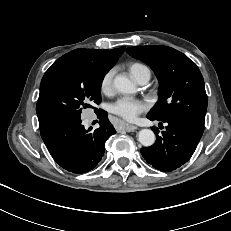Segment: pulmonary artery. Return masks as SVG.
Masks as SVG:
<instances>
[{
  "label": "pulmonary artery",
  "instance_id": "pulmonary-artery-1",
  "mask_svg": "<svg viewBox=\"0 0 231 231\" xmlns=\"http://www.w3.org/2000/svg\"><path fill=\"white\" fill-rule=\"evenodd\" d=\"M149 79H150L149 70L141 71L135 78V80L141 85H145L149 81Z\"/></svg>",
  "mask_w": 231,
  "mask_h": 231
}]
</instances>
